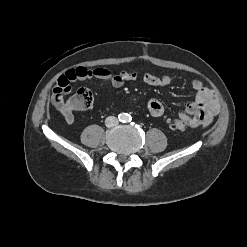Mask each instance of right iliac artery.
I'll use <instances>...</instances> for the list:
<instances>
[{
	"instance_id": "right-iliac-artery-1",
	"label": "right iliac artery",
	"mask_w": 247,
	"mask_h": 247,
	"mask_svg": "<svg viewBox=\"0 0 247 247\" xmlns=\"http://www.w3.org/2000/svg\"><path fill=\"white\" fill-rule=\"evenodd\" d=\"M119 120L122 121V122H125V114H119Z\"/></svg>"
}]
</instances>
